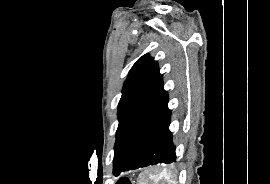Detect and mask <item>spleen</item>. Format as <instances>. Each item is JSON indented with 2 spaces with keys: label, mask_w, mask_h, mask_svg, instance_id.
<instances>
[{
  "label": "spleen",
  "mask_w": 270,
  "mask_h": 184,
  "mask_svg": "<svg viewBox=\"0 0 270 184\" xmlns=\"http://www.w3.org/2000/svg\"><path fill=\"white\" fill-rule=\"evenodd\" d=\"M172 176L169 170L160 172L145 171L139 177L138 184H172Z\"/></svg>",
  "instance_id": "1"
}]
</instances>
